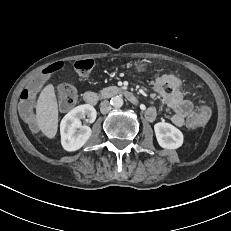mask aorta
I'll return each instance as SVG.
<instances>
[{
    "mask_svg": "<svg viewBox=\"0 0 231 231\" xmlns=\"http://www.w3.org/2000/svg\"><path fill=\"white\" fill-rule=\"evenodd\" d=\"M123 98L121 96H114L111 98L110 104L114 107V108H120L123 106Z\"/></svg>",
    "mask_w": 231,
    "mask_h": 231,
    "instance_id": "aorta-1",
    "label": "aorta"
}]
</instances>
